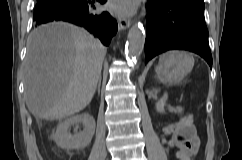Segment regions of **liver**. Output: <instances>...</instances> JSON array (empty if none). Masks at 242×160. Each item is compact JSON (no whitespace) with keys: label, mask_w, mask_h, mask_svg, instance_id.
<instances>
[{"label":"liver","mask_w":242,"mask_h":160,"mask_svg":"<svg viewBox=\"0 0 242 160\" xmlns=\"http://www.w3.org/2000/svg\"><path fill=\"white\" fill-rule=\"evenodd\" d=\"M106 48L86 30L52 23L34 30L24 65L26 105L36 117L62 120L92 100Z\"/></svg>","instance_id":"6515ba94"}]
</instances>
